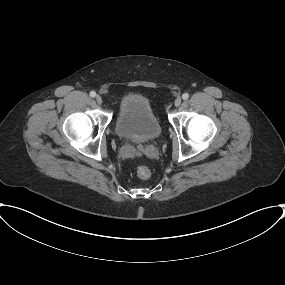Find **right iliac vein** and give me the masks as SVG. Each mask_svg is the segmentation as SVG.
Wrapping results in <instances>:
<instances>
[{
  "label": "right iliac vein",
  "mask_w": 285,
  "mask_h": 285,
  "mask_svg": "<svg viewBox=\"0 0 285 285\" xmlns=\"http://www.w3.org/2000/svg\"><path fill=\"white\" fill-rule=\"evenodd\" d=\"M96 102H97L98 104H101V103L103 102L101 96H99V95L96 96Z\"/></svg>",
  "instance_id": "right-iliac-vein-1"
}]
</instances>
